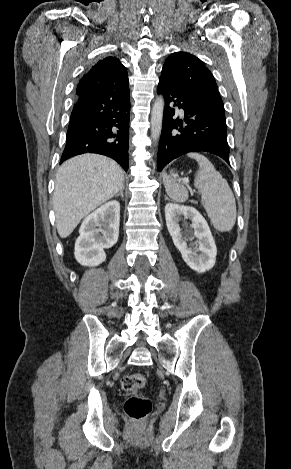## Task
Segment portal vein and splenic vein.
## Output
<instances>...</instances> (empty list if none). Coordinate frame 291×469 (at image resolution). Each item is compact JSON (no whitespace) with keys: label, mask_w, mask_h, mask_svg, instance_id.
<instances>
[{"label":"portal vein and splenic vein","mask_w":291,"mask_h":469,"mask_svg":"<svg viewBox=\"0 0 291 469\" xmlns=\"http://www.w3.org/2000/svg\"><path fill=\"white\" fill-rule=\"evenodd\" d=\"M183 183L188 184L189 183L188 179H183Z\"/></svg>","instance_id":"obj_1"}]
</instances>
